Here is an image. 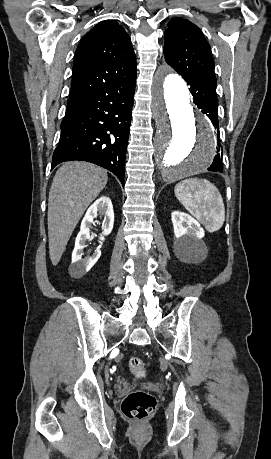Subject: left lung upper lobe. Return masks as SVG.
<instances>
[{
    "mask_svg": "<svg viewBox=\"0 0 271 459\" xmlns=\"http://www.w3.org/2000/svg\"><path fill=\"white\" fill-rule=\"evenodd\" d=\"M166 62L182 77L214 76L211 47L201 30L182 18L171 19L165 32Z\"/></svg>",
    "mask_w": 271,
    "mask_h": 459,
    "instance_id": "5c2ea615",
    "label": "left lung upper lobe"
}]
</instances>
